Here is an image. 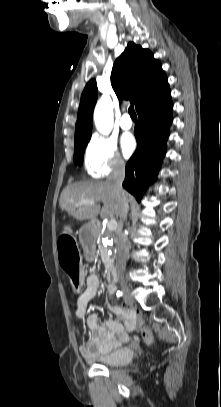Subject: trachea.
Returning <instances> with one entry per match:
<instances>
[{
    "label": "trachea",
    "mask_w": 221,
    "mask_h": 407,
    "mask_svg": "<svg viewBox=\"0 0 221 407\" xmlns=\"http://www.w3.org/2000/svg\"><path fill=\"white\" fill-rule=\"evenodd\" d=\"M128 112H129V114H130L131 117H137L133 105H131V106L129 107Z\"/></svg>",
    "instance_id": "3493384b"
}]
</instances>
